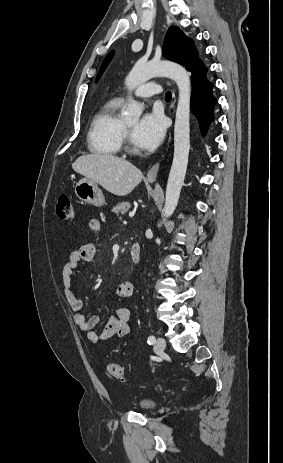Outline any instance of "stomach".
I'll list each match as a JSON object with an SVG mask.
<instances>
[{"label":"stomach","mask_w":283,"mask_h":463,"mask_svg":"<svg viewBox=\"0 0 283 463\" xmlns=\"http://www.w3.org/2000/svg\"><path fill=\"white\" fill-rule=\"evenodd\" d=\"M75 194L81 201L96 207H101L105 203L104 195L98 184L87 178L76 183Z\"/></svg>","instance_id":"1"}]
</instances>
